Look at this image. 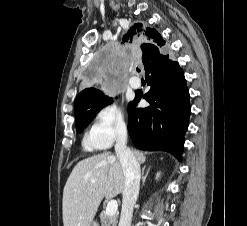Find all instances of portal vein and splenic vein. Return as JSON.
Masks as SVG:
<instances>
[{
  "mask_svg": "<svg viewBox=\"0 0 247 226\" xmlns=\"http://www.w3.org/2000/svg\"><path fill=\"white\" fill-rule=\"evenodd\" d=\"M92 182H95V181L92 180ZM117 209H118L117 201L116 200H111L107 204L105 212H106L107 215H114L117 212Z\"/></svg>",
  "mask_w": 247,
  "mask_h": 226,
  "instance_id": "1",
  "label": "portal vein and splenic vein"
}]
</instances>
